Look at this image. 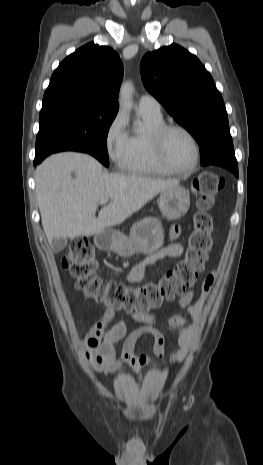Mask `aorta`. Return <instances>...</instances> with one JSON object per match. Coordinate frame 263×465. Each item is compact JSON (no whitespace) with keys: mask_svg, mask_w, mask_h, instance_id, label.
I'll list each match as a JSON object with an SVG mask.
<instances>
[{"mask_svg":"<svg viewBox=\"0 0 263 465\" xmlns=\"http://www.w3.org/2000/svg\"><path fill=\"white\" fill-rule=\"evenodd\" d=\"M132 95L133 84L129 81L124 82L120 89V106H122L125 109H131L133 106Z\"/></svg>","mask_w":263,"mask_h":465,"instance_id":"aorta-1","label":"aorta"}]
</instances>
